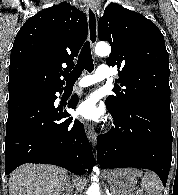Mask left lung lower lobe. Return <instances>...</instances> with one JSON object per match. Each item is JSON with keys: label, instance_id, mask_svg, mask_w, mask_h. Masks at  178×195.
I'll list each match as a JSON object with an SVG mask.
<instances>
[{"label": "left lung lower lobe", "instance_id": "obj_1", "mask_svg": "<svg viewBox=\"0 0 178 195\" xmlns=\"http://www.w3.org/2000/svg\"><path fill=\"white\" fill-rule=\"evenodd\" d=\"M111 113L115 127L97 138L101 168L135 167L158 174L166 185L172 161L171 114L135 106Z\"/></svg>", "mask_w": 178, "mask_h": 195}]
</instances>
